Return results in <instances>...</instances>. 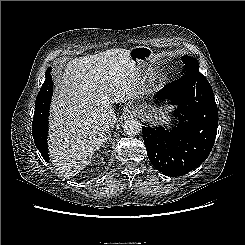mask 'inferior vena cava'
Segmentation results:
<instances>
[{
	"label": "inferior vena cava",
	"mask_w": 245,
	"mask_h": 245,
	"mask_svg": "<svg viewBox=\"0 0 245 245\" xmlns=\"http://www.w3.org/2000/svg\"><path fill=\"white\" fill-rule=\"evenodd\" d=\"M99 116L102 120L103 125L107 129H111L116 123V115L114 109L111 107H105L98 109Z\"/></svg>",
	"instance_id": "obj_1"
}]
</instances>
